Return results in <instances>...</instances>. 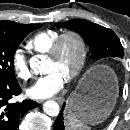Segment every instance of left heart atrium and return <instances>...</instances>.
Listing matches in <instances>:
<instances>
[{
	"label": "left heart atrium",
	"mask_w": 130,
	"mask_h": 130,
	"mask_svg": "<svg viewBox=\"0 0 130 130\" xmlns=\"http://www.w3.org/2000/svg\"><path fill=\"white\" fill-rule=\"evenodd\" d=\"M64 82L65 77L59 71L53 69L38 78L27 89V94L33 99H46L58 93L62 89Z\"/></svg>",
	"instance_id": "left-heart-atrium-1"
}]
</instances>
